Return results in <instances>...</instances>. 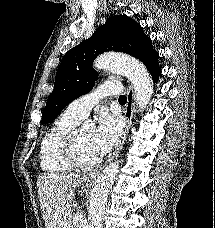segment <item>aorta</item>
I'll use <instances>...</instances> for the list:
<instances>
[{"label": "aorta", "mask_w": 215, "mask_h": 228, "mask_svg": "<svg viewBox=\"0 0 215 228\" xmlns=\"http://www.w3.org/2000/svg\"><path fill=\"white\" fill-rule=\"evenodd\" d=\"M96 70H115L125 74L132 84L136 96L138 112L146 110L153 94L152 78L143 64L134 58H125L118 54H103L98 56L94 64ZM120 170V160L116 164H109L99 174L94 190H92L89 206V228H102L103 214L108 198V192Z\"/></svg>", "instance_id": "obj_1"}]
</instances>
